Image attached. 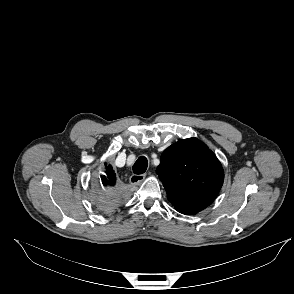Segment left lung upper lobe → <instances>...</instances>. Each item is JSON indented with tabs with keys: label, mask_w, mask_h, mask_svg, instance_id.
<instances>
[{
	"label": "left lung upper lobe",
	"mask_w": 294,
	"mask_h": 294,
	"mask_svg": "<svg viewBox=\"0 0 294 294\" xmlns=\"http://www.w3.org/2000/svg\"><path fill=\"white\" fill-rule=\"evenodd\" d=\"M156 173L169 201L183 214H196L208 207L224 180L221 163L197 138L181 140L168 147Z\"/></svg>",
	"instance_id": "left-lung-upper-lobe-1"
}]
</instances>
